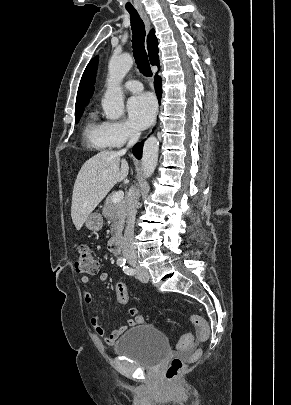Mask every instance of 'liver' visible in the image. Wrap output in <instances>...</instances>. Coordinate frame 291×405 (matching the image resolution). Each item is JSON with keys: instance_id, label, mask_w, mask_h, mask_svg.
<instances>
[{"instance_id": "obj_1", "label": "liver", "mask_w": 291, "mask_h": 405, "mask_svg": "<svg viewBox=\"0 0 291 405\" xmlns=\"http://www.w3.org/2000/svg\"><path fill=\"white\" fill-rule=\"evenodd\" d=\"M121 156V152L101 151L81 167L75 180L71 205V217L77 230L114 185L127 177L129 165Z\"/></svg>"}]
</instances>
